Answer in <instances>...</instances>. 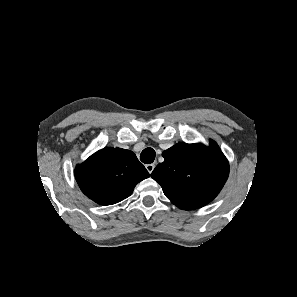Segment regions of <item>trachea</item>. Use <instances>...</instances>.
<instances>
[{"mask_svg":"<svg viewBox=\"0 0 297 297\" xmlns=\"http://www.w3.org/2000/svg\"><path fill=\"white\" fill-rule=\"evenodd\" d=\"M155 150L153 148H145L140 155V160L145 164H150L155 159Z\"/></svg>","mask_w":297,"mask_h":297,"instance_id":"3493384b","label":"trachea"}]
</instances>
